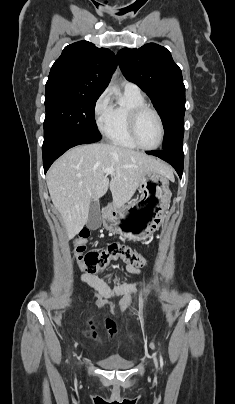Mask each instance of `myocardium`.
<instances>
[{
    "label": "myocardium",
    "instance_id": "1",
    "mask_svg": "<svg viewBox=\"0 0 235 404\" xmlns=\"http://www.w3.org/2000/svg\"><path fill=\"white\" fill-rule=\"evenodd\" d=\"M147 111L152 112L156 116V118L158 120V123H159V127H160L159 140H158L156 145L151 146V147H147V146L142 145L140 143V141L138 140V137H137V124H138V121H139L141 115L144 112H147ZM128 131H129V135H130L132 141L139 148L144 149V150L157 149L162 144L164 136H165V128H164V123H163L161 115L159 114V112L155 108H153V107H151V106H149L147 104L137 106V107H135V108H133L131 110V112L129 114V120H128Z\"/></svg>",
    "mask_w": 235,
    "mask_h": 404
}]
</instances>
